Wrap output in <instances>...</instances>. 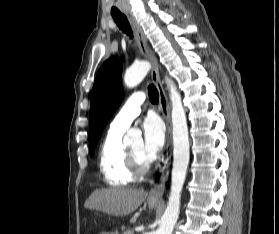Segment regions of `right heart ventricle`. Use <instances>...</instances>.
<instances>
[{
	"mask_svg": "<svg viewBox=\"0 0 279 234\" xmlns=\"http://www.w3.org/2000/svg\"><path fill=\"white\" fill-rule=\"evenodd\" d=\"M123 131L109 129L99 151V167L106 184L125 186L134 181L127 162V148L122 142Z\"/></svg>",
	"mask_w": 279,
	"mask_h": 234,
	"instance_id": "1",
	"label": "right heart ventricle"
}]
</instances>
